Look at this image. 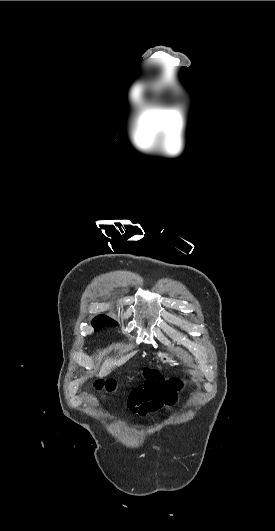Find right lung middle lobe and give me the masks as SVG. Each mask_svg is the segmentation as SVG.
I'll return each mask as SVG.
<instances>
[{
  "mask_svg": "<svg viewBox=\"0 0 275 531\" xmlns=\"http://www.w3.org/2000/svg\"><path fill=\"white\" fill-rule=\"evenodd\" d=\"M92 325L95 328V331H98L102 326H116L117 322L106 315H98L93 319Z\"/></svg>",
  "mask_w": 275,
  "mask_h": 531,
  "instance_id": "dd1d6c3e",
  "label": "right lung middle lobe"
}]
</instances>
